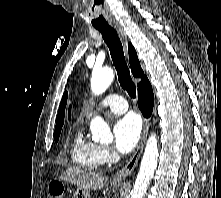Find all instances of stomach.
Listing matches in <instances>:
<instances>
[{
	"mask_svg": "<svg viewBox=\"0 0 221 198\" xmlns=\"http://www.w3.org/2000/svg\"><path fill=\"white\" fill-rule=\"evenodd\" d=\"M114 186L120 187L121 184L115 183ZM73 198H90V191L88 189L78 187L73 193Z\"/></svg>",
	"mask_w": 221,
	"mask_h": 198,
	"instance_id": "1",
	"label": "stomach"
}]
</instances>
